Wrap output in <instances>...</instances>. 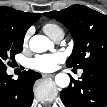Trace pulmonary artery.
Segmentation results:
<instances>
[{
  "label": "pulmonary artery",
  "instance_id": "obj_1",
  "mask_svg": "<svg viewBox=\"0 0 107 107\" xmlns=\"http://www.w3.org/2000/svg\"><path fill=\"white\" fill-rule=\"evenodd\" d=\"M63 38V36H58L55 41H60Z\"/></svg>",
  "mask_w": 107,
  "mask_h": 107
}]
</instances>
